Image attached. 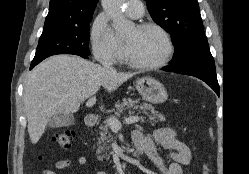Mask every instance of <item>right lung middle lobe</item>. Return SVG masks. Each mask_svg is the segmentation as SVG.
<instances>
[{
    "mask_svg": "<svg viewBox=\"0 0 249 174\" xmlns=\"http://www.w3.org/2000/svg\"><path fill=\"white\" fill-rule=\"evenodd\" d=\"M91 20L89 19L77 25H66L43 30L33 62L42 61L56 54L90 55L88 43Z\"/></svg>",
    "mask_w": 249,
    "mask_h": 174,
    "instance_id": "right-lung-middle-lobe-1",
    "label": "right lung middle lobe"
}]
</instances>
